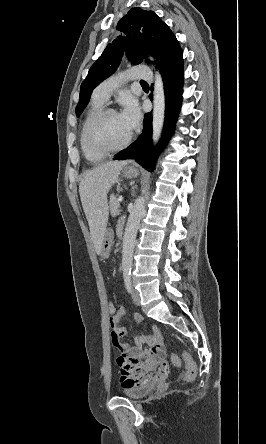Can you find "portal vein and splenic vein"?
Segmentation results:
<instances>
[{
	"label": "portal vein and splenic vein",
	"instance_id": "18ae733b",
	"mask_svg": "<svg viewBox=\"0 0 266 444\" xmlns=\"http://www.w3.org/2000/svg\"><path fill=\"white\" fill-rule=\"evenodd\" d=\"M119 202H122V200H123V197L122 196H119Z\"/></svg>",
	"mask_w": 266,
	"mask_h": 444
}]
</instances>
